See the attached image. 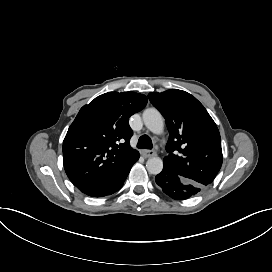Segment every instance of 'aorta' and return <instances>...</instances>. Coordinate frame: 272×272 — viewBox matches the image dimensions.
Here are the masks:
<instances>
[{
    "label": "aorta",
    "mask_w": 272,
    "mask_h": 272,
    "mask_svg": "<svg viewBox=\"0 0 272 272\" xmlns=\"http://www.w3.org/2000/svg\"><path fill=\"white\" fill-rule=\"evenodd\" d=\"M145 126L154 134L163 132L164 119L161 113L154 107L147 108L142 114ZM147 171L150 174L157 175L163 169V161L159 157H151L146 162Z\"/></svg>",
    "instance_id": "aorta-1"
}]
</instances>
